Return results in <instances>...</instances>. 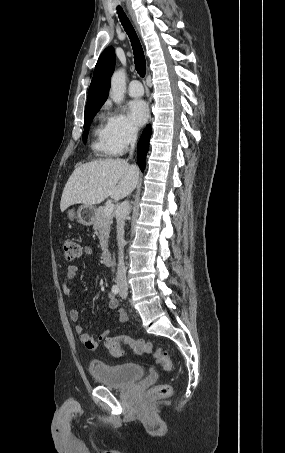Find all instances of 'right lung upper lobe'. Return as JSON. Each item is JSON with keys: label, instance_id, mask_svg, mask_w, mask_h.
<instances>
[{"label": "right lung upper lobe", "instance_id": "right-lung-upper-lobe-1", "mask_svg": "<svg viewBox=\"0 0 285 453\" xmlns=\"http://www.w3.org/2000/svg\"><path fill=\"white\" fill-rule=\"evenodd\" d=\"M114 67L115 51L110 46L103 51L95 66L94 75L89 87L85 113L98 111L106 101L110 88V77Z\"/></svg>", "mask_w": 285, "mask_h": 453}]
</instances>
